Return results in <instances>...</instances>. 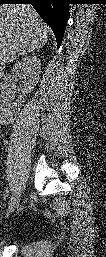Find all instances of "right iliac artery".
Here are the masks:
<instances>
[{"instance_id":"right-iliac-artery-1","label":"right iliac artery","mask_w":106,"mask_h":257,"mask_svg":"<svg viewBox=\"0 0 106 257\" xmlns=\"http://www.w3.org/2000/svg\"><path fill=\"white\" fill-rule=\"evenodd\" d=\"M16 194L13 192L11 194H8L7 195V201H8V204L10 205V203L13 201V199L15 198Z\"/></svg>"}]
</instances>
